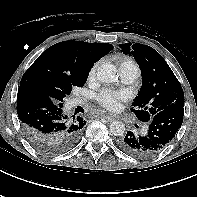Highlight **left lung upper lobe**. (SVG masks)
<instances>
[{
  "label": "left lung upper lobe",
  "instance_id": "5c2ea615",
  "mask_svg": "<svg viewBox=\"0 0 197 197\" xmlns=\"http://www.w3.org/2000/svg\"><path fill=\"white\" fill-rule=\"evenodd\" d=\"M123 53L132 54L141 69L142 86L131 111L140 121L149 122L160 111L184 108L181 84L162 56L152 47L120 44Z\"/></svg>",
  "mask_w": 197,
  "mask_h": 197
}]
</instances>
